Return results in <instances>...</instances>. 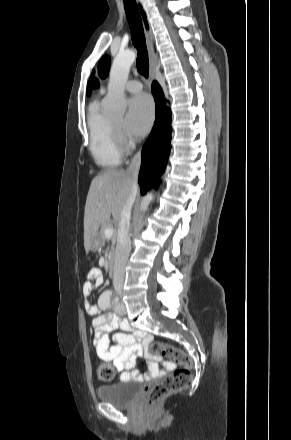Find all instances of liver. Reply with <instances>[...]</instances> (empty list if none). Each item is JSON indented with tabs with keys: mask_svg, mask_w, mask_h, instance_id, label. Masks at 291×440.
<instances>
[{
	"mask_svg": "<svg viewBox=\"0 0 291 440\" xmlns=\"http://www.w3.org/2000/svg\"><path fill=\"white\" fill-rule=\"evenodd\" d=\"M131 176L122 170H107L97 175L91 182L84 212V247L86 251L98 237L102 222L112 214L116 222L131 193Z\"/></svg>",
	"mask_w": 291,
	"mask_h": 440,
	"instance_id": "1",
	"label": "liver"
}]
</instances>
